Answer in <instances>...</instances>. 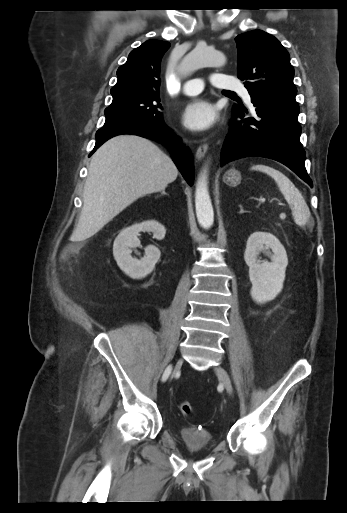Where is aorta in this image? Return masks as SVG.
Segmentation results:
<instances>
[{
  "label": "aorta",
  "mask_w": 347,
  "mask_h": 513,
  "mask_svg": "<svg viewBox=\"0 0 347 513\" xmlns=\"http://www.w3.org/2000/svg\"><path fill=\"white\" fill-rule=\"evenodd\" d=\"M225 63L226 58L223 53L212 51L200 43L183 58L179 71L182 75H188L203 67H221ZM195 206L199 224L204 228H210L214 222V212L208 191V164L201 171L196 184Z\"/></svg>",
  "instance_id": "1"
}]
</instances>
